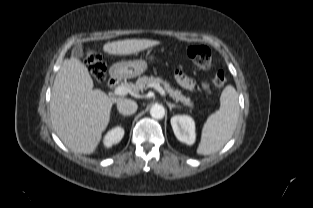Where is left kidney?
<instances>
[{
	"label": "left kidney",
	"instance_id": "obj_1",
	"mask_svg": "<svg viewBox=\"0 0 313 208\" xmlns=\"http://www.w3.org/2000/svg\"><path fill=\"white\" fill-rule=\"evenodd\" d=\"M171 126L176 138L192 145L196 139L195 122L192 117L188 115H175L171 118Z\"/></svg>",
	"mask_w": 313,
	"mask_h": 208
}]
</instances>
